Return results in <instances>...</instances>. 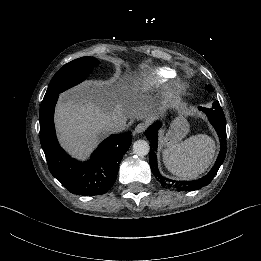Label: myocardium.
<instances>
[{"instance_id":"myocardium-1","label":"myocardium","mask_w":261,"mask_h":261,"mask_svg":"<svg viewBox=\"0 0 261 261\" xmlns=\"http://www.w3.org/2000/svg\"><path fill=\"white\" fill-rule=\"evenodd\" d=\"M175 89L178 93H181L185 89V85L182 82L178 81L175 84Z\"/></svg>"}]
</instances>
